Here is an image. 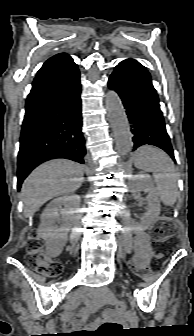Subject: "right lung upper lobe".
I'll return each instance as SVG.
<instances>
[{
	"label": "right lung upper lobe",
	"mask_w": 194,
	"mask_h": 336,
	"mask_svg": "<svg viewBox=\"0 0 194 336\" xmlns=\"http://www.w3.org/2000/svg\"><path fill=\"white\" fill-rule=\"evenodd\" d=\"M73 60L72 58L66 54V53H60L57 54L53 57H51L50 59H48L44 65L41 67V69L38 71L37 76L43 75L47 72L53 71L57 68H60L62 66H65L67 64L72 63Z\"/></svg>",
	"instance_id": "cb5924a9"
}]
</instances>
